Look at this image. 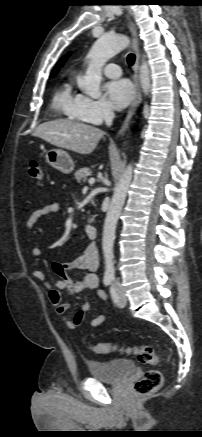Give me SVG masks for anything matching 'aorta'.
Masks as SVG:
<instances>
[{"mask_svg": "<svg viewBox=\"0 0 202 437\" xmlns=\"http://www.w3.org/2000/svg\"><path fill=\"white\" fill-rule=\"evenodd\" d=\"M129 42V38L121 34H104L97 39L87 55L89 63L85 76L78 82L79 88L85 94L94 99L101 96L100 83L103 66L110 58L125 49ZM139 79L143 92L148 94L150 89V70L145 60L142 61L140 66ZM132 174L133 167L130 164L124 170L114 189V194L104 222L102 249L105 263V275L110 277L114 276L113 247L116 225L132 181Z\"/></svg>", "mask_w": 202, "mask_h": 437, "instance_id": "obj_1", "label": "aorta"}]
</instances>
